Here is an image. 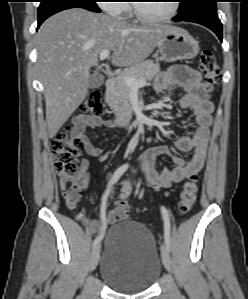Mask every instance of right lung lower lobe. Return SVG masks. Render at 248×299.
<instances>
[{
	"mask_svg": "<svg viewBox=\"0 0 248 299\" xmlns=\"http://www.w3.org/2000/svg\"><path fill=\"white\" fill-rule=\"evenodd\" d=\"M69 8H73V7H62V8L56 9V10H54V11H51V12H49V13L43 15L42 17H39V18H38V27L42 24V22H43L44 20H46V19H47L48 17H50L51 15H53V14H55V13H57V12H60V11H62V10H65V9H69Z\"/></svg>",
	"mask_w": 248,
	"mask_h": 299,
	"instance_id": "right-lung-lower-lobe-1",
	"label": "right lung lower lobe"
}]
</instances>
